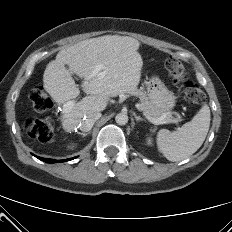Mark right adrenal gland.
<instances>
[{"label": "right adrenal gland", "instance_id": "2a0ac1e0", "mask_svg": "<svg viewBox=\"0 0 232 232\" xmlns=\"http://www.w3.org/2000/svg\"><path fill=\"white\" fill-rule=\"evenodd\" d=\"M90 133H91V131H89V132H87V133L77 132V134L82 135V137H85V136H87V135L90 134Z\"/></svg>", "mask_w": 232, "mask_h": 232}]
</instances>
